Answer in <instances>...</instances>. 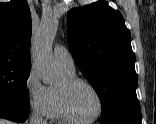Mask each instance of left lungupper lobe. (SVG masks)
I'll use <instances>...</instances> for the list:
<instances>
[{"instance_id": "obj_1", "label": "left lung upper lobe", "mask_w": 156, "mask_h": 124, "mask_svg": "<svg viewBox=\"0 0 156 124\" xmlns=\"http://www.w3.org/2000/svg\"><path fill=\"white\" fill-rule=\"evenodd\" d=\"M67 37L73 58L101 100V123L141 124L135 55L121 13L105 1L73 8Z\"/></svg>"}]
</instances>
